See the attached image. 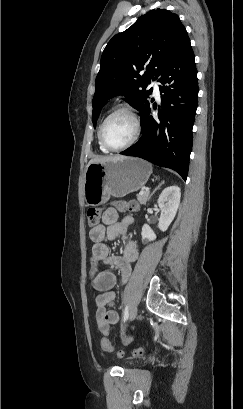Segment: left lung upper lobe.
I'll return each mask as SVG.
<instances>
[{
	"instance_id": "1",
	"label": "left lung upper lobe",
	"mask_w": 243,
	"mask_h": 409,
	"mask_svg": "<svg viewBox=\"0 0 243 409\" xmlns=\"http://www.w3.org/2000/svg\"><path fill=\"white\" fill-rule=\"evenodd\" d=\"M188 40L178 15L161 9L150 10L127 30L115 35L102 53L95 81L94 127L100 109L114 96H125L126 101L141 113L152 93V89H146L150 80L161 75ZM144 68L146 72L140 74Z\"/></svg>"
}]
</instances>
